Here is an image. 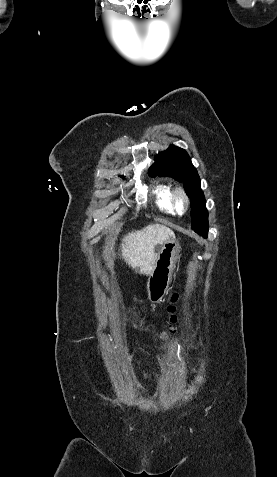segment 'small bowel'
I'll return each mask as SVG.
<instances>
[{
    "label": "small bowel",
    "mask_w": 277,
    "mask_h": 477,
    "mask_svg": "<svg viewBox=\"0 0 277 477\" xmlns=\"http://www.w3.org/2000/svg\"><path fill=\"white\" fill-rule=\"evenodd\" d=\"M149 377L148 373H144V378L147 379Z\"/></svg>",
    "instance_id": "small-bowel-1"
}]
</instances>
